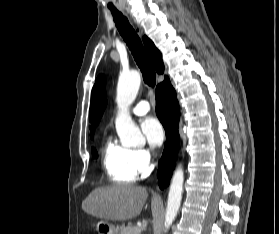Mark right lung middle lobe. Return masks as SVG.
Instances as JSON below:
<instances>
[{
    "label": "right lung middle lobe",
    "mask_w": 279,
    "mask_h": 234,
    "mask_svg": "<svg viewBox=\"0 0 279 234\" xmlns=\"http://www.w3.org/2000/svg\"><path fill=\"white\" fill-rule=\"evenodd\" d=\"M92 155H93L94 158H97L98 155H97V152H96L95 149L92 150Z\"/></svg>",
    "instance_id": "obj_1"
}]
</instances>
